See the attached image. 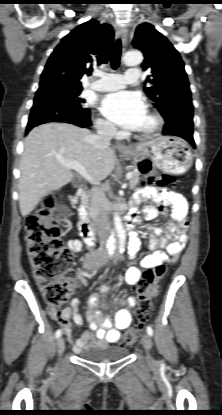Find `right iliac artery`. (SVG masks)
I'll return each mask as SVG.
<instances>
[{
  "mask_svg": "<svg viewBox=\"0 0 222 415\" xmlns=\"http://www.w3.org/2000/svg\"><path fill=\"white\" fill-rule=\"evenodd\" d=\"M62 335L61 329H58L55 333L56 338H59Z\"/></svg>",
  "mask_w": 222,
  "mask_h": 415,
  "instance_id": "1",
  "label": "right iliac artery"
}]
</instances>
